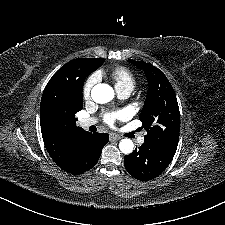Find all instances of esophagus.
<instances>
[{
	"instance_id": "1",
	"label": "esophagus",
	"mask_w": 225,
	"mask_h": 225,
	"mask_svg": "<svg viewBox=\"0 0 225 225\" xmlns=\"http://www.w3.org/2000/svg\"><path fill=\"white\" fill-rule=\"evenodd\" d=\"M109 138H110V140H120L121 139L120 136H118L114 133H110Z\"/></svg>"
}]
</instances>
